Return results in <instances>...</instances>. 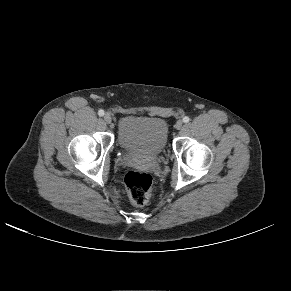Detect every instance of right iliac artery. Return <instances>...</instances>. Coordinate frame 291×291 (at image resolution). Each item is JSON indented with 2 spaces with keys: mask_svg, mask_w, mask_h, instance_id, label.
<instances>
[{
  "mask_svg": "<svg viewBox=\"0 0 291 291\" xmlns=\"http://www.w3.org/2000/svg\"><path fill=\"white\" fill-rule=\"evenodd\" d=\"M98 115H99V116H103V115H104V110H102V109L99 110V111H98Z\"/></svg>",
  "mask_w": 291,
  "mask_h": 291,
  "instance_id": "82829eb1",
  "label": "right iliac artery"
}]
</instances>
